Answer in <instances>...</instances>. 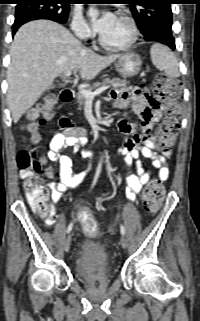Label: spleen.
<instances>
[{
	"label": "spleen",
	"mask_w": 200,
	"mask_h": 321,
	"mask_svg": "<svg viewBox=\"0 0 200 321\" xmlns=\"http://www.w3.org/2000/svg\"><path fill=\"white\" fill-rule=\"evenodd\" d=\"M150 55L153 65L164 70L168 77L177 78L180 76L178 60L168 47L155 43L150 49Z\"/></svg>",
	"instance_id": "1"
}]
</instances>
